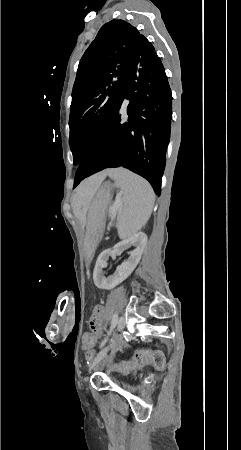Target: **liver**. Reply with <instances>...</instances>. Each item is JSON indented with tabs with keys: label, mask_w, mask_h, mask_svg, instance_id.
Wrapping results in <instances>:
<instances>
[{
	"label": "liver",
	"mask_w": 241,
	"mask_h": 450,
	"mask_svg": "<svg viewBox=\"0 0 241 450\" xmlns=\"http://www.w3.org/2000/svg\"><path fill=\"white\" fill-rule=\"evenodd\" d=\"M106 176H109V170H103V172H99V174H95V176H90L87 180H83L78 188L74 190L72 196L73 206H86L87 208Z\"/></svg>",
	"instance_id": "1"
}]
</instances>
